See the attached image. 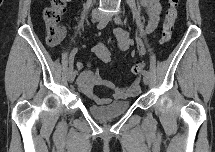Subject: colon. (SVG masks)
Wrapping results in <instances>:
<instances>
[{
  "instance_id": "1",
  "label": "colon",
  "mask_w": 215,
  "mask_h": 152,
  "mask_svg": "<svg viewBox=\"0 0 215 152\" xmlns=\"http://www.w3.org/2000/svg\"><path fill=\"white\" fill-rule=\"evenodd\" d=\"M66 4L65 0H51L43 9L42 17L47 30L46 42L50 46H57L64 37V29L59 24L61 13ZM179 0H168L165 11V19L162 27L161 42L166 43L170 40L174 24L178 17ZM144 69L143 62H136L132 66V73L140 75Z\"/></svg>"
}]
</instances>
